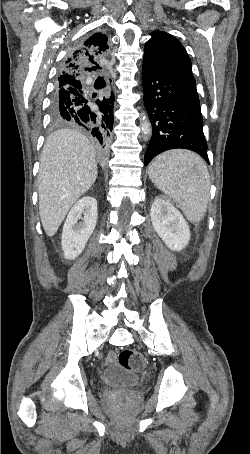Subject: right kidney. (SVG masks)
Here are the masks:
<instances>
[{
  "instance_id": "1",
  "label": "right kidney",
  "mask_w": 250,
  "mask_h": 454,
  "mask_svg": "<svg viewBox=\"0 0 250 454\" xmlns=\"http://www.w3.org/2000/svg\"><path fill=\"white\" fill-rule=\"evenodd\" d=\"M97 216V201L91 196L81 198L71 208L63 226L61 240L66 259L74 260L82 253L95 229Z\"/></svg>"
}]
</instances>
